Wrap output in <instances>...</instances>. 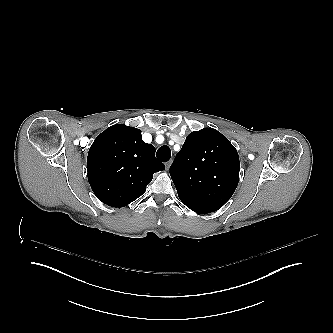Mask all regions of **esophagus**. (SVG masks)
Segmentation results:
<instances>
[{
    "mask_svg": "<svg viewBox=\"0 0 333 333\" xmlns=\"http://www.w3.org/2000/svg\"><path fill=\"white\" fill-rule=\"evenodd\" d=\"M170 166H171V161L166 163V170H169Z\"/></svg>",
    "mask_w": 333,
    "mask_h": 333,
    "instance_id": "1",
    "label": "esophagus"
}]
</instances>
